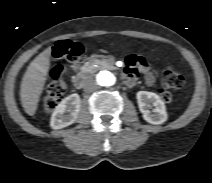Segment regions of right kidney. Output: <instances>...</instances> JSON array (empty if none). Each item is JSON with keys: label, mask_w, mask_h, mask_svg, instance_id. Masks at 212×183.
<instances>
[{"label": "right kidney", "mask_w": 212, "mask_h": 183, "mask_svg": "<svg viewBox=\"0 0 212 183\" xmlns=\"http://www.w3.org/2000/svg\"><path fill=\"white\" fill-rule=\"evenodd\" d=\"M81 107V99L77 93L64 98L55 108L50 126L53 129H61L75 122Z\"/></svg>", "instance_id": "1"}]
</instances>
